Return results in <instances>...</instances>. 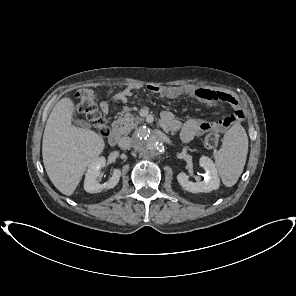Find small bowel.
Masks as SVG:
<instances>
[{"instance_id":"small-bowel-1","label":"small bowel","mask_w":296,"mask_h":296,"mask_svg":"<svg viewBox=\"0 0 296 296\" xmlns=\"http://www.w3.org/2000/svg\"><path fill=\"white\" fill-rule=\"evenodd\" d=\"M136 87H128L112 96L111 100L102 102L101 107L103 112L109 109L110 101L126 102L132 96V91ZM148 90L159 93L161 96L174 99L181 96H187L197 99L205 106L219 105L220 103L229 104L233 113L215 121H206L199 118H190L184 124H181L175 116L164 111L161 117L162 126L172 130H180L181 137L184 141L189 142L194 138L209 132H223L234 124L240 123L244 119V113L237 99L226 92L211 90L207 88L197 87L194 85L160 87L158 85H149Z\"/></svg>"}]
</instances>
